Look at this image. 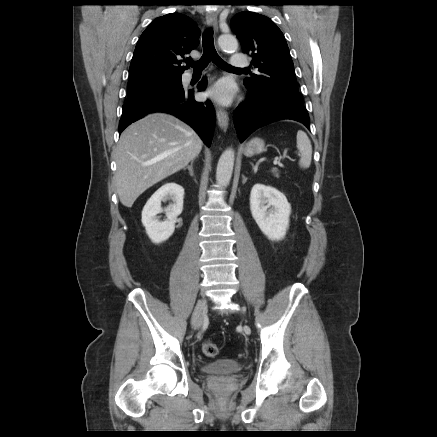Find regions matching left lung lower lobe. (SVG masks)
I'll use <instances>...</instances> for the list:
<instances>
[{
	"label": "left lung lower lobe",
	"mask_w": 437,
	"mask_h": 437,
	"mask_svg": "<svg viewBox=\"0 0 437 437\" xmlns=\"http://www.w3.org/2000/svg\"><path fill=\"white\" fill-rule=\"evenodd\" d=\"M249 98L234 111V125L240 142L256 129L281 119L296 120L310 129L309 116L302 102L252 93H249Z\"/></svg>",
	"instance_id": "1"
}]
</instances>
